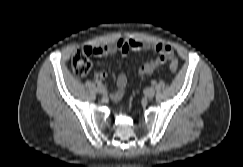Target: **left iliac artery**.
I'll list each match as a JSON object with an SVG mask.
<instances>
[{
	"instance_id": "1",
	"label": "left iliac artery",
	"mask_w": 243,
	"mask_h": 167,
	"mask_svg": "<svg viewBox=\"0 0 243 167\" xmlns=\"http://www.w3.org/2000/svg\"><path fill=\"white\" fill-rule=\"evenodd\" d=\"M151 83H152V85H155L156 84V81L155 80H152Z\"/></svg>"
}]
</instances>
